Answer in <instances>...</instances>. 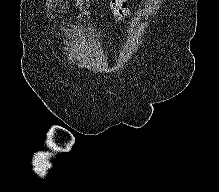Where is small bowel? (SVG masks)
Here are the masks:
<instances>
[{"mask_svg":"<svg viewBox=\"0 0 219 192\" xmlns=\"http://www.w3.org/2000/svg\"><path fill=\"white\" fill-rule=\"evenodd\" d=\"M127 2L128 0H110V9L117 19L124 20L128 16Z\"/></svg>","mask_w":219,"mask_h":192,"instance_id":"c3829d8e","label":"small bowel"}]
</instances>
